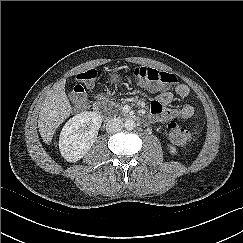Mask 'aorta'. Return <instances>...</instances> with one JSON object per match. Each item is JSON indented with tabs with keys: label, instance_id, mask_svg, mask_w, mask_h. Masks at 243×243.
<instances>
[{
	"label": "aorta",
	"instance_id": "762f6f07",
	"mask_svg": "<svg viewBox=\"0 0 243 243\" xmlns=\"http://www.w3.org/2000/svg\"><path fill=\"white\" fill-rule=\"evenodd\" d=\"M124 127H125L126 130L130 131V130H133L136 127V123L133 119H127L124 122Z\"/></svg>",
	"mask_w": 243,
	"mask_h": 243
}]
</instances>
